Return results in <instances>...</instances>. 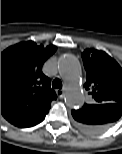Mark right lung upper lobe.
Wrapping results in <instances>:
<instances>
[{"label":"right lung upper lobe","mask_w":122,"mask_h":154,"mask_svg":"<svg viewBox=\"0 0 122 154\" xmlns=\"http://www.w3.org/2000/svg\"><path fill=\"white\" fill-rule=\"evenodd\" d=\"M56 49L26 41L1 53V114L11 124L34 126L49 112L57 95L41 69Z\"/></svg>","instance_id":"1"}]
</instances>
